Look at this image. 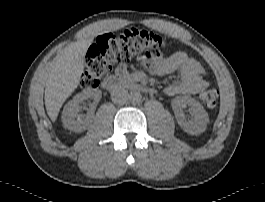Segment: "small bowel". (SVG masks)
Returning <instances> with one entry per match:
<instances>
[{
	"label": "small bowel",
	"mask_w": 265,
	"mask_h": 202,
	"mask_svg": "<svg viewBox=\"0 0 265 202\" xmlns=\"http://www.w3.org/2000/svg\"><path fill=\"white\" fill-rule=\"evenodd\" d=\"M176 70L180 71V80L166 88L165 93L168 96L195 94L208 85L203 79L205 70L201 64L182 51L173 53L166 58L158 55L151 72L157 76H167Z\"/></svg>",
	"instance_id": "c3829d8e"
}]
</instances>
